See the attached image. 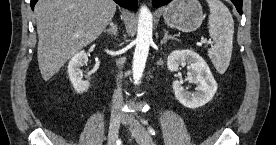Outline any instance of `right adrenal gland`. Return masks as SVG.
Listing matches in <instances>:
<instances>
[{"mask_svg": "<svg viewBox=\"0 0 276 145\" xmlns=\"http://www.w3.org/2000/svg\"><path fill=\"white\" fill-rule=\"evenodd\" d=\"M109 25H110V28L104 30V33H108L110 35L116 36L117 35V31H118L117 26L113 23L112 20L110 21Z\"/></svg>", "mask_w": 276, "mask_h": 145, "instance_id": "obj_1", "label": "right adrenal gland"}]
</instances>
